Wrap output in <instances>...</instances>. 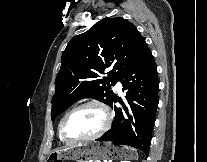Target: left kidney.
<instances>
[{"mask_svg": "<svg viewBox=\"0 0 207 162\" xmlns=\"http://www.w3.org/2000/svg\"><path fill=\"white\" fill-rule=\"evenodd\" d=\"M122 162H130V161H122Z\"/></svg>", "mask_w": 207, "mask_h": 162, "instance_id": "obj_1", "label": "left kidney"}]
</instances>
